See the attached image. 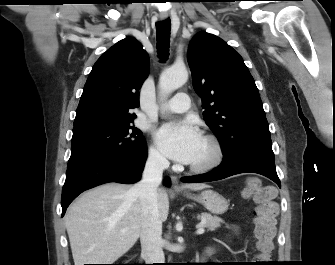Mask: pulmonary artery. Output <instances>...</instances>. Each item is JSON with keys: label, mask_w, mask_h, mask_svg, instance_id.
<instances>
[{"label": "pulmonary artery", "mask_w": 335, "mask_h": 265, "mask_svg": "<svg viewBox=\"0 0 335 265\" xmlns=\"http://www.w3.org/2000/svg\"><path fill=\"white\" fill-rule=\"evenodd\" d=\"M191 106V100L188 94L178 93L166 105L164 110L171 113L186 112Z\"/></svg>", "instance_id": "pulmonary-artery-1"}]
</instances>
